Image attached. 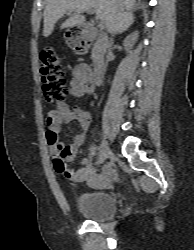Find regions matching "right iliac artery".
I'll return each mask as SVG.
<instances>
[{
    "label": "right iliac artery",
    "instance_id": "obj_1",
    "mask_svg": "<svg viewBox=\"0 0 194 250\" xmlns=\"http://www.w3.org/2000/svg\"><path fill=\"white\" fill-rule=\"evenodd\" d=\"M93 149H94V152L96 150H99V157H101V147L94 146Z\"/></svg>",
    "mask_w": 194,
    "mask_h": 250
}]
</instances>
